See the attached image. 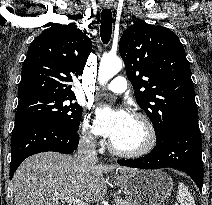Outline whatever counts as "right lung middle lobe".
Masks as SVG:
<instances>
[{
  "instance_id": "dd1d6c3e",
  "label": "right lung middle lobe",
  "mask_w": 212,
  "mask_h": 205,
  "mask_svg": "<svg viewBox=\"0 0 212 205\" xmlns=\"http://www.w3.org/2000/svg\"><path fill=\"white\" fill-rule=\"evenodd\" d=\"M76 97L52 94H34L20 98L15 116V123L28 120H49L77 132L82 108L72 103Z\"/></svg>"
}]
</instances>
